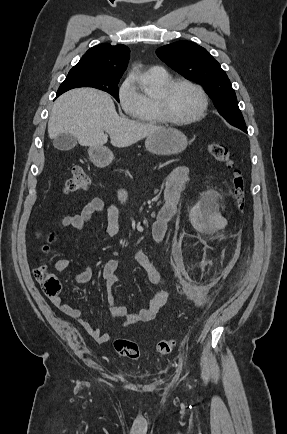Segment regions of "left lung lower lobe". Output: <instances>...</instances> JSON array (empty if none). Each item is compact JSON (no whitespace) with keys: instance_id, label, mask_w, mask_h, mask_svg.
Segmentation results:
<instances>
[{"instance_id":"left-lung-lower-lobe-1","label":"left lung lower lobe","mask_w":287,"mask_h":434,"mask_svg":"<svg viewBox=\"0 0 287 434\" xmlns=\"http://www.w3.org/2000/svg\"><path fill=\"white\" fill-rule=\"evenodd\" d=\"M247 133L246 126H235Z\"/></svg>"}]
</instances>
